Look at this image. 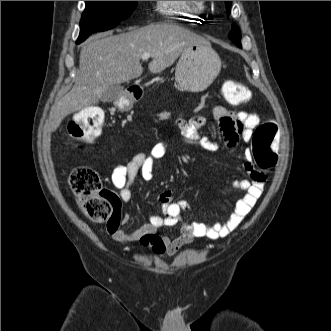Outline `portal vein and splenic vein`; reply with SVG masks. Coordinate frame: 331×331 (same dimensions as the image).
<instances>
[{
    "label": "portal vein and splenic vein",
    "instance_id": "obj_1",
    "mask_svg": "<svg viewBox=\"0 0 331 331\" xmlns=\"http://www.w3.org/2000/svg\"><path fill=\"white\" fill-rule=\"evenodd\" d=\"M154 55L153 54H150V53H144L142 55V60H148L150 57H153Z\"/></svg>",
    "mask_w": 331,
    "mask_h": 331
}]
</instances>
